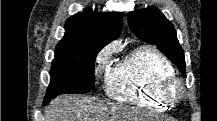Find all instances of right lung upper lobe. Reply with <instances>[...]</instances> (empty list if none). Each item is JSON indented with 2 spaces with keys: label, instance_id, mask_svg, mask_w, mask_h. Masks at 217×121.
I'll list each match as a JSON object with an SVG mask.
<instances>
[{
  "label": "right lung upper lobe",
  "instance_id": "cb5924a9",
  "mask_svg": "<svg viewBox=\"0 0 217 121\" xmlns=\"http://www.w3.org/2000/svg\"><path fill=\"white\" fill-rule=\"evenodd\" d=\"M122 13H98L87 8L66 20L65 35L57 45L97 43L102 48L116 40L122 30Z\"/></svg>",
  "mask_w": 217,
  "mask_h": 121
}]
</instances>
